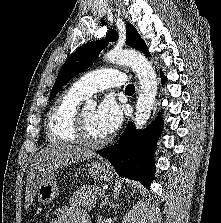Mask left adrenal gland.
I'll list each match as a JSON object with an SVG mask.
<instances>
[{"instance_id":"a2214340","label":"left adrenal gland","mask_w":221,"mask_h":223,"mask_svg":"<svg viewBox=\"0 0 221 223\" xmlns=\"http://www.w3.org/2000/svg\"><path fill=\"white\" fill-rule=\"evenodd\" d=\"M109 195L105 197V199L101 203V207H104L108 203Z\"/></svg>"}]
</instances>
